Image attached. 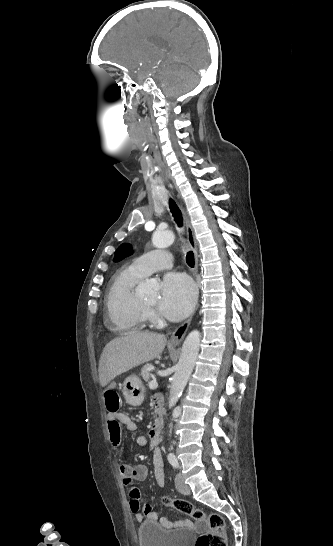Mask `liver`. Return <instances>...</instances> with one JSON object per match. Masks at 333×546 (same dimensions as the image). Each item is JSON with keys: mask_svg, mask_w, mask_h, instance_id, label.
<instances>
[{"mask_svg": "<svg viewBox=\"0 0 333 546\" xmlns=\"http://www.w3.org/2000/svg\"><path fill=\"white\" fill-rule=\"evenodd\" d=\"M166 341L164 335L134 332L110 341L99 361L101 386H106L116 376L158 357Z\"/></svg>", "mask_w": 333, "mask_h": 546, "instance_id": "obj_1", "label": "liver"}]
</instances>
